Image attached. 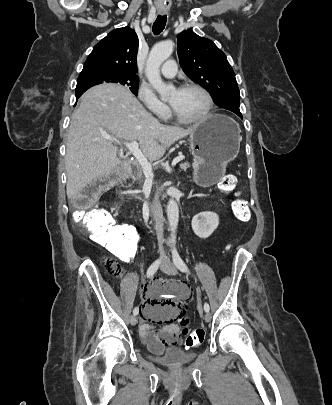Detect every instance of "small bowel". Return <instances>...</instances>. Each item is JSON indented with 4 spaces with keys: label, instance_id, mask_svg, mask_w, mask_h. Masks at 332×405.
I'll use <instances>...</instances> for the list:
<instances>
[{
    "label": "small bowel",
    "instance_id": "small-bowel-1",
    "mask_svg": "<svg viewBox=\"0 0 332 405\" xmlns=\"http://www.w3.org/2000/svg\"><path fill=\"white\" fill-rule=\"evenodd\" d=\"M174 285L178 284L158 280L145 290L139 333L147 349L169 353L184 345L180 325L175 320L184 313L190 292L188 288H171ZM155 322L163 324L162 328H156Z\"/></svg>",
    "mask_w": 332,
    "mask_h": 405
}]
</instances>
